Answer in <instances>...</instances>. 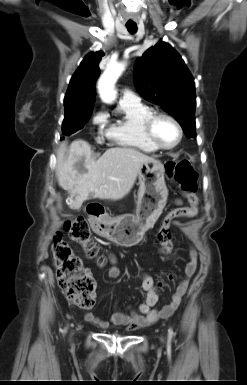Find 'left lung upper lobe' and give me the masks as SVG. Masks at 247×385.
I'll return each mask as SVG.
<instances>
[{"mask_svg": "<svg viewBox=\"0 0 247 385\" xmlns=\"http://www.w3.org/2000/svg\"><path fill=\"white\" fill-rule=\"evenodd\" d=\"M134 83L141 96L177 119L188 138L196 136L194 79L168 43L159 41L137 60Z\"/></svg>", "mask_w": 247, "mask_h": 385, "instance_id": "left-lung-upper-lobe-1", "label": "left lung upper lobe"}]
</instances>
